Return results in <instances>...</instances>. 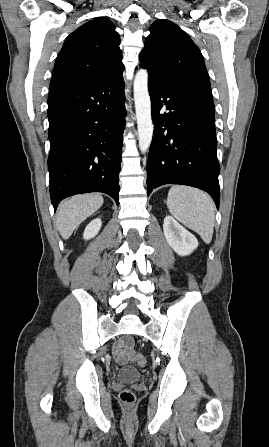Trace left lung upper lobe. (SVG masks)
I'll list each match as a JSON object with an SVG mask.
<instances>
[{
	"label": "left lung upper lobe",
	"instance_id": "left-lung-upper-lobe-1",
	"mask_svg": "<svg viewBox=\"0 0 269 447\" xmlns=\"http://www.w3.org/2000/svg\"><path fill=\"white\" fill-rule=\"evenodd\" d=\"M149 77L168 83L204 103L215 107L203 56L191 38L169 20H156L150 27L139 56Z\"/></svg>",
	"mask_w": 269,
	"mask_h": 447
}]
</instances>
